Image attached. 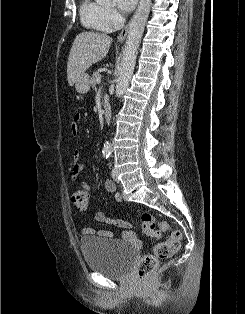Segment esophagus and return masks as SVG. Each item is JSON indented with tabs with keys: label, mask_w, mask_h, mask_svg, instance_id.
<instances>
[{
	"label": "esophagus",
	"mask_w": 245,
	"mask_h": 314,
	"mask_svg": "<svg viewBox=\"0 0 245 314\" xmlns=\"http://www.w3.org/2000/svg\"><path fill=\"white\" fill-rule=\"evenodd\" d=\"M128 31H129V24L126 25L124 29L120 32V34L117 36V42H122L126 38Z\"/></svg>",
	"instance_id": "obj_1"
}]
</instances>
